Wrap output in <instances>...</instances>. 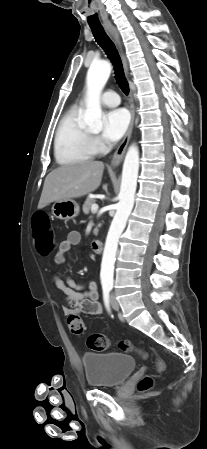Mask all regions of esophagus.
I'll return each mask as SVG.
<instances>
[{"mask_svg":"<svg viewBox=\"0 0 207 449\" xmlns=\"http://www.w3.org/2000/svg\"><path fill=\"white\" fill-rule=\"evenodd\" d=\"M105 28L109 32V34L112 36L115 43L117 44L119 51H120L124 69L128 73V63H127V59H126L123 49H122V44H121L119 33H118L117 29L115 28L114 25H112L110 23L106 24ZM130 113H131V120H130L128 130H127L122 142L120 143V145L116 149L115 153L113 154V157L111 160V165L113 167L118 166L122 162L126 148L128 146V143H129V140L131 137V134H132V130H133V126H134V119H135V107H134V102H133V98H132V91L130 92Z\"/></svg>","mask_w":207,"mask_h":449,"instance_id":"1","label":"esophagus"}]
</instances>
